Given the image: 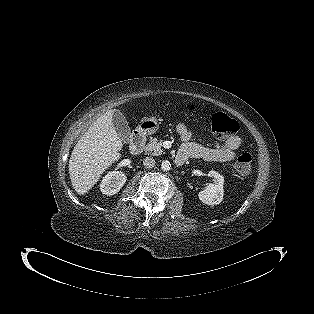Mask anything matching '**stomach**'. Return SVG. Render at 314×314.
I'll return each instance as SVG.
<instances>
[{"mask_svg": "<svg viewBox=\"0 0 314 314\" xmlns=\"http://www.w3.org/2000/svg\"><path fill=\"white\" fill-rule=\"evenodd\" d=\"M159 120L155 117H145L139 122L136 130L142 135H152L159 130Z\"/></svg>", "mask_w": 314, "mask_h": 314, "instance_id": "stomach-1", "label": "stomach"}]
</instances>
